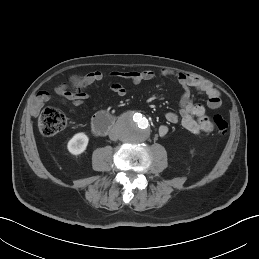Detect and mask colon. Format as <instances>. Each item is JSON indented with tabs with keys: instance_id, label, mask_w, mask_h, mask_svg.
<instances>
[{
	"instance_id": "1",
	"label": "colon",
	"mask_w": 259,
	"mask_h": 259,
	"mask_svg": "<svg viewBox=\"0 0 259 259\" xmlns=\"http://www.w3.org/2000/svg\"><path fill=\"white\" fill-rule=\"evenodd\" d=\"M85 85V78L76 77L71 79V95H78L81 87ZM67 120L65 115L54 108H46L39 117V130L43 136H53L65 128ZM213 124L218 133H225L228 129V123L221 115L213 117Z\"/></svg>"
}]
</instances>
